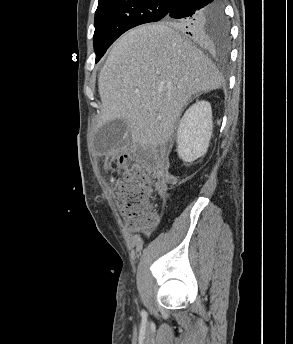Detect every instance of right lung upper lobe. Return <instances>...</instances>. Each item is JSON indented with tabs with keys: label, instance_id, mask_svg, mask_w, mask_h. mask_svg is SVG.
I'll return each mask as SVG.
<instances>
[{
	"label": "right lung upper lobe",
	"instance_id": "right-lung-upper-lobe-1",
	"mask_svg": "<svg viewBox=\"0 0 293 344\" xmlns=\"http://www.w3.org/2000/svg\"><path fill=\"white\" fill-rule=\"evenodd\" d=\"M102 1H105V0H99V2H102ZM170 1H173V2H174L175 0H170Z\"/></svg>",
	"mask_w": 293,
	"mask_h": 344
}]
</instances>
